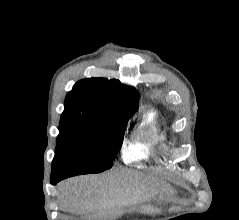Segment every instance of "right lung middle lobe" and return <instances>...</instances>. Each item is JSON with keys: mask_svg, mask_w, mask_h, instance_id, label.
I'll list each match as a JSON object with an SVG mask.
<instances>
[{"mask_svg": "<svg viewBox=\"0 0 239 220\" xmlns=\"http://www.w3.org/2000/svg\"><path fill=\"white\" fill-rule=\"evenodd\" d=\"M128 119L108 123L61 122L51 180L110 169Z\"/></svg>", "mask_w": 239, "mask_h": 220, "instance_id": "dd1d6c3e", "label": "right lung middle lobe"}]
</instances>
